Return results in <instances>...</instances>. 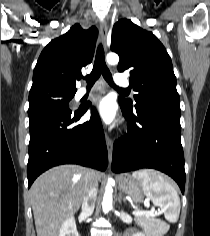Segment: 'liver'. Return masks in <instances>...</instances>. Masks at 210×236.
Here are the masks:
<instances>
[{
	"label": "liver",
	"instance_id": "1",
	"mask_svg": "<svg viewBox=\"0 0 210 236\" xmlns=\"http://www.w3.org/2000/svg\"><path fill=\"white\" fill-rule=\"evenodd\" d=\"M100 181V171L61 165L40 175L30 189L37 236H59L63 222L75 214L89 185V174Z\"/></svg>",
	"mask_w": 210,
	"mask_h": 236
}]
</instances>
